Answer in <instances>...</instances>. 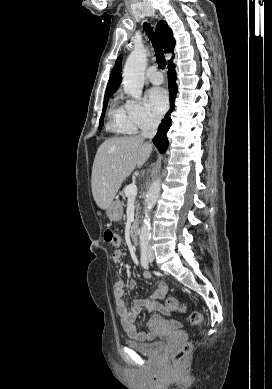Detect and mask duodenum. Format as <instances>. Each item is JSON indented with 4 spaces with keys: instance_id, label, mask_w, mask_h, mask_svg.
<instances>
[{
    "instance_id": "duodenum-1",
    "label": "duodenum",
    "mask_w": 272,
    "mask_h": 389,
    "mask_svg": "<svg viewBox=\"0 0 272 389\" xmlns=\"http://www.w3.org/2000/svg\"><path fill=\"white\" fill-rule=\"evenodd\" d=\"M130 239L133 244L138 245L140 240H139V223L135 222L131 228L130 231Z\"/></svg>"
}]
</instances>
